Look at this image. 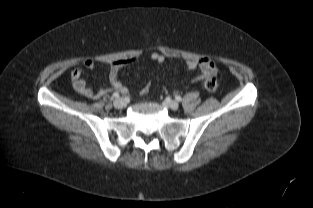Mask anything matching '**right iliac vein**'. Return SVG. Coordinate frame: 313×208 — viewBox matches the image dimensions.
Returning <instances> with one entry per match:
<instances>
[{"label": "right iliac vein", "mask_w": 313, "mask_h": 208, "mask_svg": "<svg viewBox=\"0 0 313 208\" xmlns=\"http://www.w3.org/2000/svg\"><path fill=\"white\" fill-rule=\"evenodd\" d=\"M114 107L117 109H122L126 106V102L123 98H117L114 102Z\"/></svg>", "instance_id": "right-iliac-vein-1"}]
</instances>
